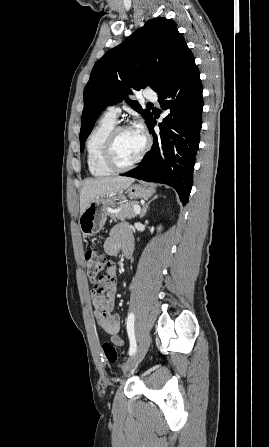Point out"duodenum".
Here are the masks:
<instances>
[{"label":"duodenum","mask_w":269,"mask_h":447,"mask_svg":"<svg viewBox=\"0 0 269 447\" xmlns=\"http://www.w3.org/2000/svg\"><path fill=\"white\" fill-rule=\"evenodd\" d=\"M125 255H126L127 257H129V256L131 255V252H130V251H126V252H125Z\"/></svg>","instance_id":"obj_1"}]
</instances>
